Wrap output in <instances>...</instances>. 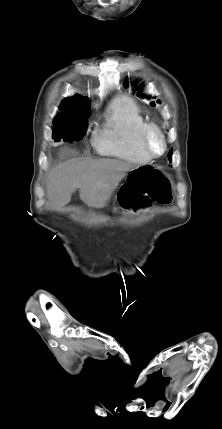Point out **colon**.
Instances as JSON below:
<instances>
[{"label":"colon","mask_w":222,"mask_h":429,"mask_svg":"<svg viewBox=\"0 0 222 429\" xmlns=\"http://www.w3.org/2000/svg\"><path fill=\"white\" fill-rule=\"evenodd\" d=\"M122 207L137 209L152 202L169 204L172 201L171 185L166 175L152 165L133 169L119 192Z\"/></svg>","instance_id":"1"}]
</instances>
